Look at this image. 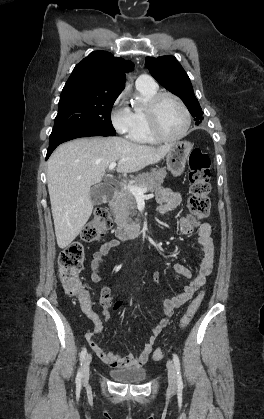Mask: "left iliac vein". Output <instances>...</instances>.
I'll return each instance as SVG.
<instances>
[{
  "label": "left iliac vein",
  "mask_w": 264,
  "mask_h": 419,
  "mask_svg": "<svg viewBox=\"0 0 264 419\" xmlns=\"http://www.w3.org/2000/svg\"><path fill=\"white\" fill-rule=\"evenodd\" d=\"M167 368H168L169 387L170 389L174 390L177 386V373H176L175 366L171 360H168Z\"/></svg>",
  "instance_id": "left-iliac-vein-1"
}]
</instances>
